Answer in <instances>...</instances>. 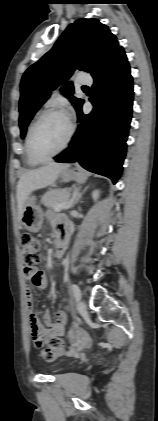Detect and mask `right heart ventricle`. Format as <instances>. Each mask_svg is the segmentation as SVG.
<instances>
[{
	"label": "right heart ventricle",
	"mask_w": 158,
	"mask_h": 421,
	"mask_svg": "<svg viewBox=\"0 0 158 421\" xmlns=\"http://www.w3.org/2000/svg\"><path fill=\"white\" fill-rule=\"evenodd\" d=\"M40 114H41V112H37L35 114V116L33 117L32 121H31V123H30V125L28 127V130H27L26 141H25V154H26V162H27V164L29 166H37L39 164L38 162L34 161L31 158L30 154H29V150H28V136H29V132H30L31 126L33 125V123L35 122V120L37 119V117Z\"/></svg>",
	"instance_id": "1"
}]
</instances>
